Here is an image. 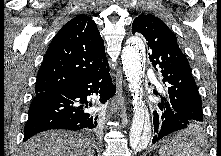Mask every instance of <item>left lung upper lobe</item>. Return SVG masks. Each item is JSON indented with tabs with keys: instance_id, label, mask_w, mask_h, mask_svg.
<instances>
[{
	"instance_id": "1",
	"label": "left lung upper lobe",
	"mask_w": 221,
	"mask_h": 156,
	"mask_svg": "<svg viewBox=\"0 0 221 156\" xmlns=\"http://www.w3.org/2000/svg\"><path fill=\"white\" fill-rule=\"evenodd\" d=\"M147 40L149 60L158 67L167 87V100L178 113L197 124L203 122L202 100L190 71V65L169 27L152 14H141L132 24V33Z\"/></svg>"
}]
</instances>
